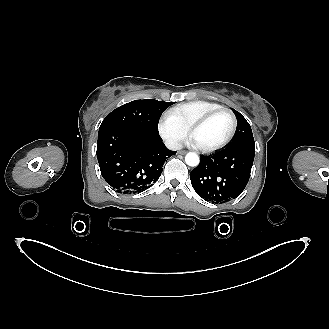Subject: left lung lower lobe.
I'll return each instance as SVG.
<instances>
[{"label":"left lung lower lobe","mask_w":329,"mask_h":329,"mask_svg":"<svg viewBox=\"0 0 329 329\" xmlns=\"http://www.w3.org/2000/svg\"><path fill=\"white\" fill-rule=\"evenodd\" d=\"M255 145H236L202 156L190 173L194 190L206 201L225 203L246 187L254 160Z\"/></svg>","instance_id":"0a47b994"}]
</instances>
